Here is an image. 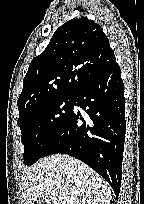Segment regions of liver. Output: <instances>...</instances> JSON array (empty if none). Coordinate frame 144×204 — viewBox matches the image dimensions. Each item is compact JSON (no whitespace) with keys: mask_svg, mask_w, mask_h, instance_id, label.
Instances as JSON below:
<instances>
[{"mask_svg":"<svg viewBox=\"0 0 144 204\" xmlns=\"http://www.w3.org/2000/svg\"><path fill=\"white\" fill-rule=\"evenodd\" d=\"M23 204H110L111 187L93 169L68 155L55 154L26 168L22 175ZM51 191L57 195L50 196Z\"/></svg>","mask_w":144,"mask_h":204,"instance_id":"obj_1","label":"liver"}]
</instances>
